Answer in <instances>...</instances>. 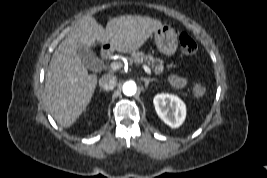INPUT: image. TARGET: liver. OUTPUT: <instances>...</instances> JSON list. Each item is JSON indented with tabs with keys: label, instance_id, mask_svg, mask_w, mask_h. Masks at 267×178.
<instances>
[{
	"label": "liver",
	"instance_id": "liver-1",
	"mask_svg": "<svg viewBox=\"0 0 267 178\" xmlns=\"http://www.w3.org/2000/svg\"><path fill=\"white\" fill-rule=\"evenodd\" d=\"M162 26L148 17L121 16L110 20L104 30L93 17L86 19L59 45L51 59L45 82L47 111L60 126L69 128L86 110L98 77L88 73L82 50L109 44L112 51L133 53Z\"/></svg>",
	"mask_w": 267,
	"mask_h": 178
}]
</instances>
